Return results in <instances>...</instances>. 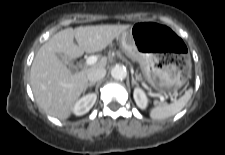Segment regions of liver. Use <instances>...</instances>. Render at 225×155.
<instances>
[{"label":"liver","mask_w":225,"mask_h":155,"mask_svg":"<svg viewBox=\"0 0 225 155\" xmlns=\"http://www.w3.org/2000/svg\"><path fill=\"white\" fill-rule=\"evenodd\" d=\"M130 25H96L67 28L53 35L41 46L33 60L30 85L38 106L48 115L65 120L88 85L87 75L94 67H105L102 58L80 72L72 73L58 54L68 59L104 50ZM76 39L77 44L74 43Z\"/></svg>","instance_id":"liver-1"}]
</instances>
